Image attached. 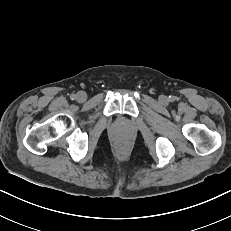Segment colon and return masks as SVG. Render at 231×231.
I'll return each instance as SVG.
<instances>
[{
	"label": "colon",
	"mask_w": 231,
	"mask_h": 231,
	"mask_svg": "<svg viewBox=\"0 0 231 231\" xmlns=\"http://www.w3.org/2000/svg\"><path fill=\"white\" fill-rule=\"evenodd\" d=\"M126 147H127V143H125V142H121L119 144V148L122 149V150L126 149Z\"/></svg>",
	"instance_id": "colon-1"
}]
</instances>
